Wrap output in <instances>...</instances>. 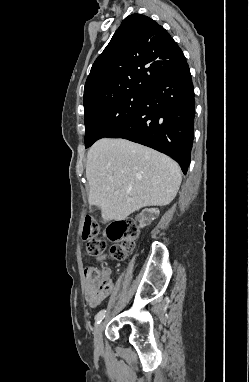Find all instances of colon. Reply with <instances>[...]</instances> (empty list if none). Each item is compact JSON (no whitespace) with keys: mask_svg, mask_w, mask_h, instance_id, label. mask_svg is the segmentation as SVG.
<instances>
[{"mask_svg":"<svg viewBox=\"0 0 249 382\" xmlns=\"http://www.w3.org/2000/svg\"><path fill=\"white\" fill-rule=\"evenodd\" d=\"M98 231L97 220L91 215H86L83 220L82 238L87 241V253L92 256L99 255L105 248L104 240L96 237ZM139 231V224L133 220H117L108 225L106 237L115 242L111 248L114 259L122 260L133 250ZM85 276L93 289V300L101 301L110 293L112 282L104 279L100 270L88 267L85 269Z\"/></svg>","mask_w":249,"mask_h":382,"instance_id":"obj_1","label":"colon"}]
</instances>
